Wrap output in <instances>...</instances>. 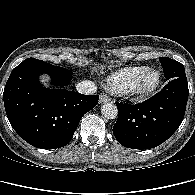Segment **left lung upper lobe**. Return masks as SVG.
I'll return each instance as SVG.
<instances>
[{"mask_svg": "<svg viewBox=\"0 0 195 195\" xmlns=\"http://www.w3.org/2000/svg\"><path fill=\"white\" fill-rule=\"evenodd\" d=\"M164 75L167 80L174 79L177 77H183L186 78L185 69L184 66L168 57H161L160 58Z\"/></svg>", "mask_w": 195, "mask_h": 195, "instance_id": "1", "label": "left lung upper lobe"}]
</instances>
